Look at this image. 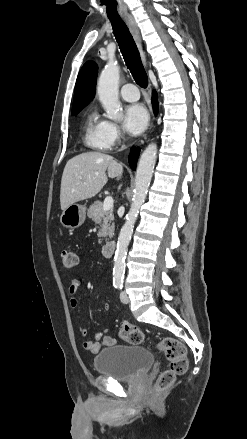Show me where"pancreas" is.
<instances>
[{
    "instance_id": "pancreas-1",
    "label": "pancreas",
    "mask_w": 247,
    "mask_h": 439,
    "mask_svg": "<svg viewBox=\"0 0 247 439\" xmlns=\"http://www.w3.org/2000/svg\"><path fill=\"white\" fill-rule=\"evenodd\" d=\"M87 215L100 225L98 237L112 238L114 234V215L112 210L104 211L102 202L96 201L88 209ZM101 241L102 239H99L98 242L101 243Z\"/></svg>"
}]
</instances>
